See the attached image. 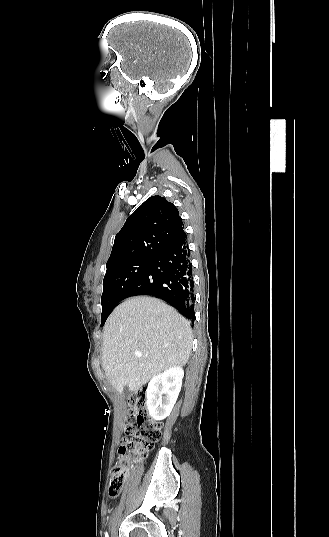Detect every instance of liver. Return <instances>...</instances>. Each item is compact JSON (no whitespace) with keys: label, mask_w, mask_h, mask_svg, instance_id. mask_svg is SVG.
Here are the masks:
<instances>
[{"label":"liver","mask_w":329,"mask_h":537,"mask_svg":"<svg viewBox=\"0 0 329 537\" xmlns=\"http://www.w3.org/2000/svg\"><path fill=\"white\" fill-rule=\"evenodd\" d=\"M190 323L163 301L132 297L118 305L104 327L102 366L113 387L137 392L151 378L184 366L192 347ZM141 353V357L136 356Z\"/></svg>","instance_id":"obj_1"}]
</instances>
